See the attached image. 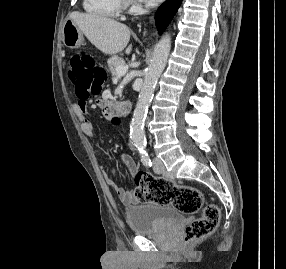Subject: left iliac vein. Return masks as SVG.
<instances>
[{"instance_id":"4c4485c4","label":"left iliac vein","mask_w":286,"mask_h":269,"mask_svg":"<svg viewBox=\"0 0 286 269\" xmlns=\"http://www.w3.org/2000/svg\"><path fill=\"white\" fill-rule=\"evenodd\" d=\"M153 169L156 173H161L163 175H167L165 166L163 162L159 158H155L153 161Z\"/></svg>"}]
</instances>
